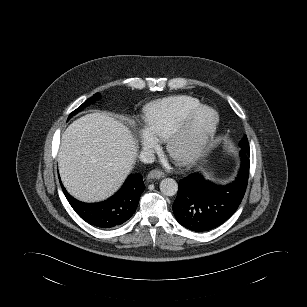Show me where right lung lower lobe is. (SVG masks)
Masks as SVG:
<instances>
[{"mask_svg":"<svg viewBox=\"0 0 307 307\" xmlns=\"http://www.w3.org/2000/svg\"><path fill=\"white\" fill-rule=\"evenodd\" d=\"M141 174H132L121 189L110 199L94 204H86L63 192L75 212L92 226L109 229L121 225L135 212L145 186Z\"/></svg>","mask_w":307,"mask_h":307,"instance_id":"1","label":"right lung lower lobe"}]
</instances>
